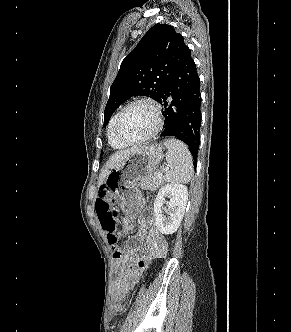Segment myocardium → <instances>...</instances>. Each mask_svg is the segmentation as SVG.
<instances>
[{"label":"myocardium","instance_id":"1","mask_svg":"<svg viewBox=\"0 0 291 332\" xmlns=\"http://www.w3.org/2000/svg\"><path fill=\"white\" fill-rule=\"evenodd\" d=\"M138 104L147 105L153 110L154 115H155V127L148 135H146L140 139L128 140V139L124 138L120 133V122H121V119H122L123 115L125 114V112L132 106L138 105ZM162 126H163V114H162V109H161V106L159 105V103L151 98H138V99H135V100L129 102L120 110V112L117 115L116 121H115L114 132H115L116 138L123 144L137 145V144L144 143V142L154 138L160 132V130L162 129Z\"/></svg>","mask_w":291,"mask_h":332}]
</instances>
